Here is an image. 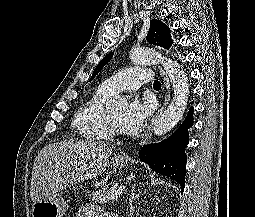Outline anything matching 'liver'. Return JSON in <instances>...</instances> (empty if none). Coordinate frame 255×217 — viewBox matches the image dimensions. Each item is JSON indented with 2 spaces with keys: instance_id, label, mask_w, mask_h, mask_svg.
Masks as SVG:
<instances>
[{
  "instance_id": "obj_1",
  "label": "liver",
  "mask_w": 255,
  "mask_h": 217,
  "mask_svg": "<svg viewBox=\"0 0 255 217\" xmlns=\"http://www.w3.org/2000/svg\"><path fill=\"white\" fill-rule=\"evenodd\" d=\"M111 154L108 144L91 140H65L44 147L33 165L31 200L53 198L61 190L101 175Z\"/></svg>"
}]
</instances>
